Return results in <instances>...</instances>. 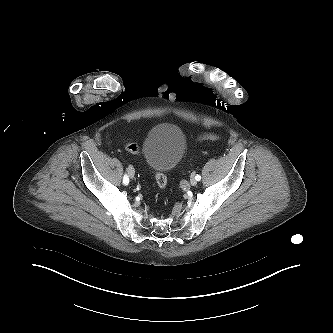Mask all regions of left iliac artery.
<instances>
[{
	"instance_id": "obj_1",
	"label": "left iliac artery",
	"mask_w": 333,
	"mask_h": 333,
	"mask_svg": "<svg viewBox=\"0 0 333 333\" xmlns=\"http://www.w3.org/2000/svg\"><path fill=\"white\" fill-rule=\"evenodd\" d=\"M195 178H196L197 181H200V180H201V176H200L199 174H197V175L195 176Z\"/></svg>"
}]
</instances>
